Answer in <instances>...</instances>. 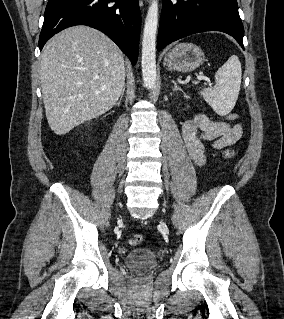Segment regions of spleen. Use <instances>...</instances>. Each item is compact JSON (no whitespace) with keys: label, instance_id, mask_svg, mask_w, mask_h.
<instances>
[{"label":"spleen","instance_id":"spleen-1","mask_svg":"<svg viewBox=\"0 0 284 319\" xmlns=\"http://www.w3.org/2000/svg\"><path fill=\"white\" fill-rule=\"evenodd\" d=\"M241 79V63L232 55L215 73L214 87L204 88L200 94L218 115L225 116L236 104Z\"/></svg>","mask_w":284,"mask_h":319}]
</instances>
